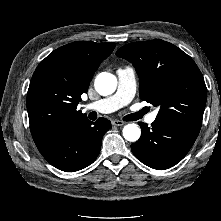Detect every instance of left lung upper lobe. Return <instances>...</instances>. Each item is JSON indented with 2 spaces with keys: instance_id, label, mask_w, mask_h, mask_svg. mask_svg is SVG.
I'll return each instance as SVG.
<instances>
[{
  "instance_id": "left-lung-upper-lobe-1",
  "label": "left lung upper lobe",
  "mask_w": 221,
  "mask_h": 221,
  "mask_svg": "<svg viewBox=\"0 0 221 221\" xmlns=\"http://www.w3.org/2000/svg\"><path fill=\"white\" fill-rule=\"evenodd\" d=\"M116 55L134 65L140 98L160 107L156 119L201 128L207 89L189 55L159 39L127 44Z\"/></svg>"
}]
</instances>
